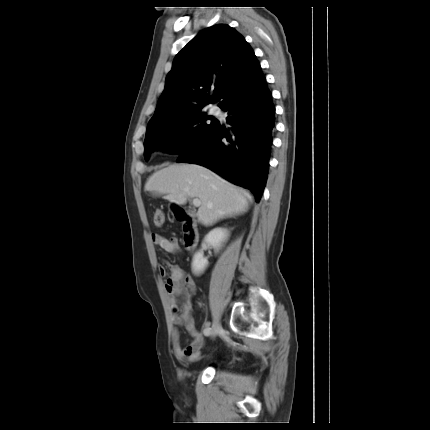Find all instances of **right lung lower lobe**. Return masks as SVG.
Here are the masks:
<instances>
[{
    "instance_id": "obj_1",
    "label": "right lung lower lobe",
    "mask_w": 430,
    "mask_h": 430,
    "mask_svg": "<svg viewBox=\"0 0 430 430\" xmlns=\"http://www.w3.org/2000/svg\"><path fill=\"white\" fill-rule=\"evenodd\" d=\"M219 107L228 112L227 131L218 122L206 141L177 161L205 166L250 189L259 202L268 176L275 106L265 77L233 89ZM222 139H226L225 142Z\"/></svg>"
}]
</instances>
